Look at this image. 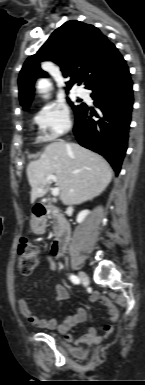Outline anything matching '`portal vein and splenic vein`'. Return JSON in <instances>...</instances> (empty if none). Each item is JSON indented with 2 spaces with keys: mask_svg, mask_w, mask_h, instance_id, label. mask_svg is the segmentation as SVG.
<instances>
[{
  "mask_svg": "<svg viewBox=\"0 0 145 385\" xmlns=\"http://www.w3.org/2000/svg\"><path fill=\"white\" fill-rule=\"evenodd\" d=\"M47 180L50 181V182H57V177L55 175H49L47 176ZM60 188L59 187H56L52 190V195L53 196H58L59 193H60Z\"/></svg>",
  "mask_w": 145,
  "mask_h": 385,
  "instance_id": "portal-vein-and-splenic-vein-1",
  "label": "portal vein and splenic vein"
}]
</instances>
